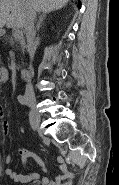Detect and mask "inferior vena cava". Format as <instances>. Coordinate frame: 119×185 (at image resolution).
<instances>
[{
	"label": "inferior vena cava",
	"mask_w": 119,
	"mask_h": 185,
	"mask_svg": "<svg viewBox=\"0 0 119 185\" xmlns=\"http://www.w3.org/2000/svg\"><path fill=\"white\" fill-rule=\"evenodd\" d=\"M35 18H36L35 11L30 6H27L25 10L24 31L26 34L27 49L31 60H33L35 53V35H36V31L34 28ZM31 68L32 66L30 65V69ZM25 96L28 98H34V91L30 82H28L26 85Z\"/></svg>",
	"instance_id": "inferior-vena-cava-1"
}]
</instances>
